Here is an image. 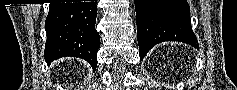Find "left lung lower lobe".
<instances>
[{"label": "left lung lower lobe", "mask_w": 237, "mask_h": 90, "mask_svg": "<svg viewBox=\"0 0 237 90\" xmlns=\"http://www.w3.org/2000/svg\"><path fill=\"white\" fill-rule=\"evenodd\" d=\"M135 10L141 60L163 41L184 42L198 48L186 0H135Z\"/></svg>", "instance_id": "obj_1"}]
</instances>
